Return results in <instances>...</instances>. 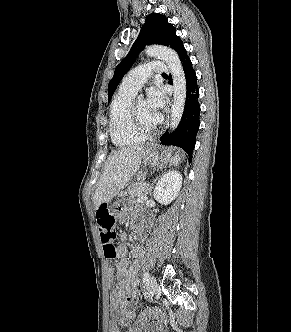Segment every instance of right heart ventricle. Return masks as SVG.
I'll return each instance as SVG.
<instances>
[{
    "label": "right heart ventricle",
    "instance_id": "1",
    "mask_svg": "<svg viewBox=\"0 0 291 332\" xmlns=\"http://www.w3.org/2000/svg\"><path fill=\"white\" fill-rule=\"evenodd\" d=\"M135 92L120 88L110 107L109 133L112 142L119 147L140 143L144 137L132 128L130 119L131 104Z\"/></svg>",
    "mask_w": 291,
    "mask_h": 332
}]
</instances>
